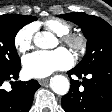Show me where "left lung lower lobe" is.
I'll list each match as a JSON object with an SVG mask.
<instances>
[{"label":"left lung lower lobe","mask_w":112,"mask_h":112,"mask_svg":"<svg viewBox=\"0 0 112 112\" xmlns=\"http://www.w3.org/2000/svg\"><path fill=\"white\" fill-rule=\"evenodd\" d=\"M68 74L69 76L75 74L82 79V82L71 80L69 92L61 99L66 112H110L112 110V64L101 65L87 71L73 68ZM86 75L91 78L86 79Z\"/></svg>","instance_id":"1"}]
</instances>
